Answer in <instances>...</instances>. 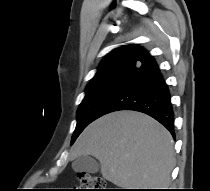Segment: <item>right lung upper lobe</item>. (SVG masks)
<instances>
[{
  "label": "right lung upper lobe",
  "mask_w": 210,
  "mask_h": 191,
  "mask_svg": "<svg viewBox=\"0 0 210 191\" xmlns=\"http://www.w3.org/2000/svg\"><path fill=\"white\" fill-rule=\"evenodd\" d=\"M138 49H139V46L136 44L125 45V46L116 48L106 56V58L102 61L101 64L119 56L132 57L138 51Z\"/></svg>",
  "instance_id": "obj_1"
}]
</instances>
